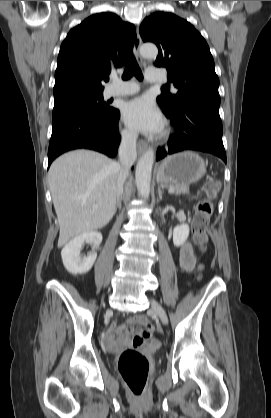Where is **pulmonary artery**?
I'll list each match as a JSON object with an SVG mask.
<instances>
[{"label":"pulmonary artery","mask_w":271,"mask_h":418,"mask_svg":"<svg viewBox=\"0 0 271 418\" xmlns=\"http://www.w3.org/2000/svg\"><path fill=\"white\" fill-rule=\"evenodd\" d=\"M146 79L151 83H163L166 81L164 75H162L157 69H147ZM139 87L133 82H120L117 79L113 80V85L106 91L107 97H119L132 95L138 92Z\"/></svg>","instance_id":"e3ab8cb5"}]
</instances>
